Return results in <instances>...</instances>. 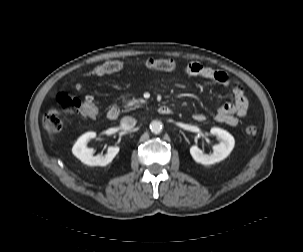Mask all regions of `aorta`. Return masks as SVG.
I'll list each match as a JSON object with an SVG mask.
<instances>
[{
  "instance_id": "762f6f07",
  "label": "aorta",
  "mask_w": 303,
  "mask_h": 252,
  "mask_svg": "<svg viewBox=\"0 0 303 252\" xmlns=\"http://www.w3.org/2000/svg\"><path fill=\"white\" fill-rule=\"evenodd\" d=\"M163 125L160 121H153L150 124V130L154 134H159L162 131Z\"/></svg>"
}]
</instances>
